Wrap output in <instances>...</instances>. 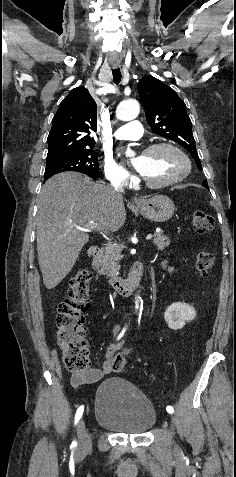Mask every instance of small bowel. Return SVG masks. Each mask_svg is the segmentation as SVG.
Returning a JSON list of instances; mask_svg holds the SVG:
<instances>
[{
    "label": "small bowel",
    "mask_w": 236,
    "mask_h": 477,
    "mask_svg": "<svg viewBox=\"0 0 236 477\" xmlns=\"http://www.w3.org/2000/svg\"><path fill=\"white\" fill-rule=\"evenodd\" d=\"M120 330H121L120 324H117L113 327L112 334L114 339L110 342V344L108 345L106 349V360L103 362L101 367L89 369L85 372L74 374L72 377L74 384L79 385L84 383H87V384L95 383L101 380L104 376L111 373L112 359L115 358L117 355H120V354L124 355L127 353L126 350H123L122 352H120L122 347L121 342L118 341L119 340L118 337L115 340V337L118 335Z\"/></svg>",
    "instance_id": "obj_1"
}]
</instances>
